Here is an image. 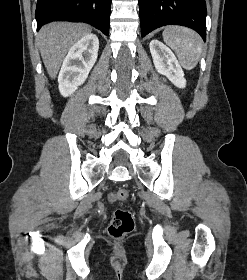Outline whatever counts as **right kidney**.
Masks as SVG:
<instances>
[{"label":"right kidney","mask_w":247,"mask_h":280,"mask_svg":"<svg viewBox=\"0 0 247 280\" xmlns=\"http://www.w3.org/2000/svg\"><path fill=\"white\" fill-rule=\"evenodd\" d=\"M98 49V37L92 33L82 37L70 48L58 76L62 96L68 97L85 82L97 60Z\"/></svg>","instance_id":"1"}]
</instances>
